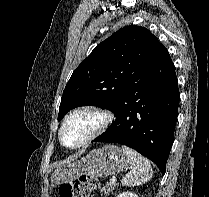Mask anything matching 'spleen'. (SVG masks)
I'll return each instance as SVG.
<instances>
[{
  "label": "spleen",
  "instance_id": "spleen-1",
  "mask_svg": "<svg viewBox=\"0 0 209 197\" xmlns=\"http://www.w3.org/2000/svg\"><path fill=\"white\" fill-rule=\"evenodd\" d=\"M122 149L127 156V162L131 165V171L122 178V184L124 186H139L148 182L153 176L149 161L127 146H122Z\"/></svg>",
  "mask_w": 209,
  "mask_h": 197
}]
</instances>
